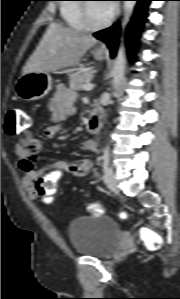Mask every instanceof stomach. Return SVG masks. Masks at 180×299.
<instances>
[{
	"mask_svg": "<svg viewBox=\"0 0 180 299\" xmlns=\"http://www.w3.org/2000/svg\"><path fill=\"white\" fill-rule=\"evenodd\" d=\"M95 59H104V53L100 50L93 52ZM52 87V78L49 72H28L22 74L16 82L17 96L25 101L39 100L45 97Z\"/></svg>",
	"mask_w": 180,
	"mask_h": 299,
	"instance_id": "stomach-1",
	"label": "stomach"
}]
</instances>
